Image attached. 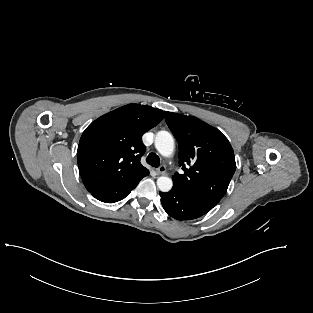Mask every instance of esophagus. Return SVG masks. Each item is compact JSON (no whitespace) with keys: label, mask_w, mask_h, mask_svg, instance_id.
<instances>
[{"label":"esophagus","mask_w":313,"mask_h":313,"mask_svg":"<svg viewBox=\"0 0 313 313\" xmlns=\"http://www.w3.org/2000/svg\"><path fill=\"white\" fill-rule=\"evenodd\" d=\"M156 172L158 175H164L166 173V167L164 165H161L156 169Z\"/></svg>","instance_id":"1"}]
</instances>
